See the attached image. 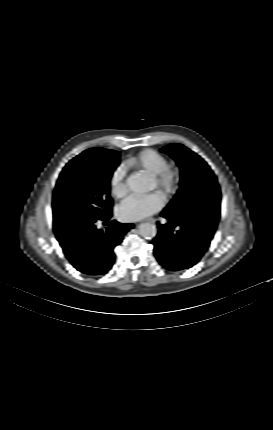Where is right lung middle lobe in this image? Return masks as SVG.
<instances>
[{
	"label": "right lung middle lobe",
	"instance_id": "right-lung-middle-lobe-1",
	"mask_svg": "<svg viewBox=\"0 0 273 430\" xmlns=\"http://www.w3.org/2000/svg\"><path fill=\"white\" fill-rule=\"evenodd\" d=\"M112 155L84 151L63 169L53 193V228L57 238L111 213V176L119 165Z\"/></svg>",
	"mask_w": 273,
	"mask_h": 430
}]
</instances>
